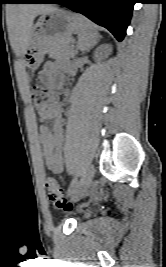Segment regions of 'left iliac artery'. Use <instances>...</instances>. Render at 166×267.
Wrapping results in <instances>:
<instances>
[{
  "label": "left iliac artery",
  "instance_id": "left-iliac-artery-1",
  "mask_svg": "<svg viewBox=\"0 0 166 267\" xmlns=\"http://www.w3.org/2000/svg\"><path fill=\"white\" fill-rule=\"evenodd\" d=\"M77 178H74L72 181H71V183H70V185H69V188H68V190H67V195H70V194H72V192L74 191V189L76 188V186H77Z\"/></svg>",
  "mask_w": 166,
  "mask_h": 267
}]
</instances>
